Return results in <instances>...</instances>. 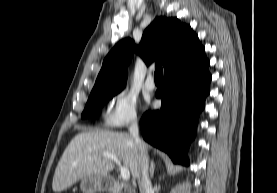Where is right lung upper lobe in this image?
<instances>
[{
  "label": "right lung upper lobe",
  "instance_id": "1",
  "mask_svg": "<svg viewBox=\"0 0 277 193\" xmlns=\"http://www.w3.org/2000/svg\"><path fill=\"white\" fill-rule=\"evenodd\" d=\"M202 46L191 27L177 18L156 17L144 31L136 47L129 38L118 42L103 61L91 94L122 90L126 84L127 65L138 54L149 65L152 61L163 64L164 74L197 53Z\"/></svg>",
  "mask_w": 277,
  "mask_h": 193
}]
</instances>
